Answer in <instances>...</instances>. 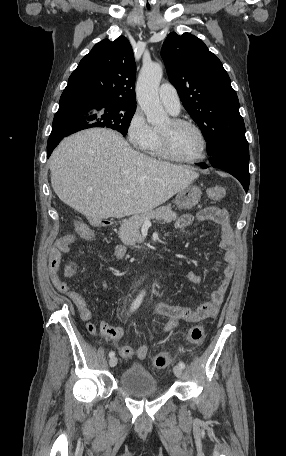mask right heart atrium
<instances>
[{
	"instance_id": "d8ad5b80",
	"label": "right heart atrium",
	"mask_w": 286,
	"mask_h": 456,
	"mask_svg": "<svg viewBox=\"0 0 286 456\" xmlns=\"http://www.w3.org/2000/svg\"><path fill=\"white\" fill-rule=\"evenodd\" d=\"M126 136L129 143L139 149H144L150 142L153 129L140 108H136L132 113L126 127Z\"/></svg>"
}]
</instances>
